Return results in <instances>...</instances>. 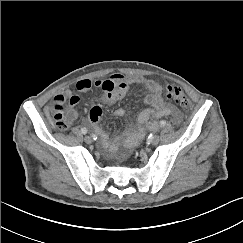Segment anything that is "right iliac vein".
I'll use <instances>...</instances> for the list:
<instances>
[{"label":"right iliac vein","mask_w":243,"mask_h":243,"mask_svg":"<svg viewBox=\"0 0 243 243\" xmlns=\"http://www.w3.org/2000/svg\"><path fill=\"white\" fill-rule=\"evenodd\" d=\"M84 141H85L86 143H88V144H90V143L93 142L92 138H91L90 136H88V135H86V136L84 137Z\"/></svg>","instance_id":"63e3f726"}]
</instances>
